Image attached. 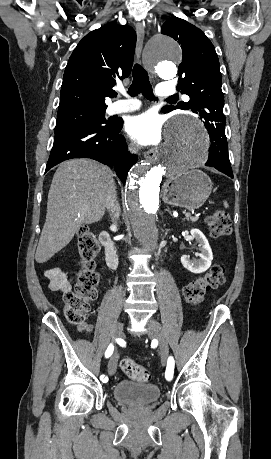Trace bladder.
<instances>
[{
  "label": "bladder",
  "mask_w": 271,
  "mask_h": 459,
  "mask_svg": "<svg viewBox=\"0 0 271 459\" xmlns=\"http://www.w3.org/2000/svg\"><path fill=\"white\" fill-rule=\"evenodd\" d=\"M161 389L157 385L123 381L116 383L113 388V397L123 405H149L160 397Z\"/></svg>",
  "instance_id": "1"
}]
</instances>
